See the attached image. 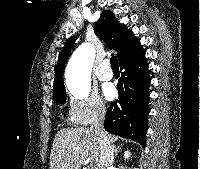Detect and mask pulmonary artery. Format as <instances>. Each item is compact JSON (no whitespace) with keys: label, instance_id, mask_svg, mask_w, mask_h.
<instances>
[{"label":"pulmonary artery","instance_id":"e3ab8cb5","mask_svg":"<svg viewBox=\"0 0 200 169\" xmlns=\"http://www.w3.org/2000/svg\"><path fill=\"white\" fill-rule=\"evenodd\" d=\"M107 66V62H102L95 72L97 78L101 81H109L113 78V73L107 68Z\"/></svg>","mask_w":200,"mask_h":169}]
</instances>
